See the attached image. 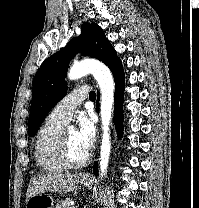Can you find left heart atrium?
Returning a JSON list of instances; mask_svg holds the SVG:
<instances>
[{
	"instance_id": "1",
	"label": "left heart atrium",
	"mask_w": 199,
	"mask_h": 208,
	"mask_svg": "<svg viewBox=\"0 0 199 208\" xmlns=\"http://www.w3.org/2000/svg\"><path fill=\"white\" fill-rule=\"evenodd\" d=\"M75 133L79 144L89 152L94 142L95 129L92 121L87 116L79 117L78 128Z\"/></svg>"
}]
</instances>
